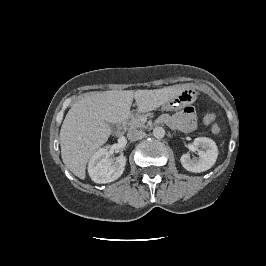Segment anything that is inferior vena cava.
Masks as SVG:
<instances>
[{"mask_svg":"<svg viewBox=\"0 0 266 266\" xmlns=\"http://www.w3.org/2000/svg\"><path fill=\"white\" fill-rule=\"evenodd\" d=\"M127 136L130 141H137L145 137V132L142 130H131Z\"/></svg>","mask_w":266,"mask_h":266,"instance_id":"inferior-vena-cava-1","label":"inferior vena cava"}]
</instances>
